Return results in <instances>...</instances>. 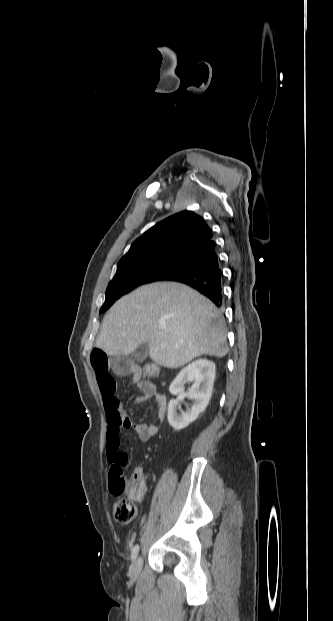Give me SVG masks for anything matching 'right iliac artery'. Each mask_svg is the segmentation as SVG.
<instances>
[{
	"label": "right iliac artery",
	"instance_id": "obj_1",
	"mask_svg": "<svg viewBox=\"0 0 333 621\" xmlns=\"http://www.w3.org/2000/svg\"><path fill=\"white\" fill-rule=\"evenodd\" d=\"M138 552H139V546L135 545L133 547V549H132V552H131V559L132 560H134L137 557Z\"/></svg>",
	"mask_w": 333,
	"mask_h": 621
}]
</instances>
